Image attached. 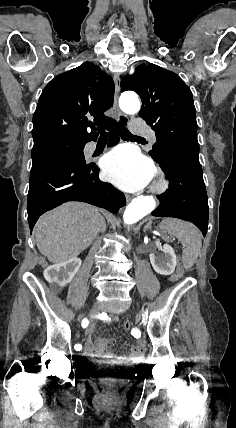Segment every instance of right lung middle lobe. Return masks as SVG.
I'll return each instance as SVG.
<instances>
[{"label":"right lung middle lobe","mask_w":236,"mask_h":428,"mask_svg":"<svg viewBox=\"0 0 236 428\" xmlns=\"http://www.w3.org/2000/svg\"><path fill=\"white\" fill-rule=\"evenodd\" d=\"M86 142L83 140L59 139L34 145L31 155L33 160L32 168L57 160L84 164L83 149Z\"/></svg>","instance_id":"dd1d6c3e"}]
</instances>
